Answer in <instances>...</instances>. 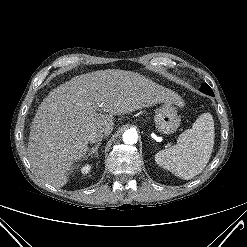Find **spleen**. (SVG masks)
Returning <instances> with one entry per match:
<instances>
[{"mask_svg": "<svg viewBox=\"0 0 247 247\" xmlns=\"http://www.w3.org/2000/svg\"><path fill=\"white\" fill-rule=\"evenodd\" d=\"M214 120L210 113L201 114L191 129L180 134L177 144L155 155L156 163L179 178L189 180L200 174L212 154Z\"/></svg>", "mask_w": 247, "mask_h": 247, "instance_id": "1", "label": "spleen"}]
</instances>
